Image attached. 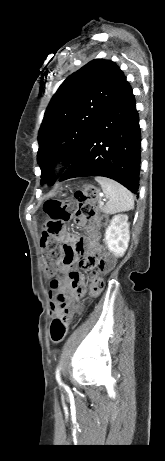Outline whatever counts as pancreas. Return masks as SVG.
<instances>
[{"label": "pancreas", "instance_id": "pancreas-1", "mask_svg": "<svg viewBox=\"0 0 165 461\" xmlns=\"http://www.w3.org/2000/svg\"><path fill=\"white\" fill-rule=\"evenodd\" d=\"M99 202H100V201H99ZM97 209L103 210V209H104V208H103V205L99 204L98 207H97Z\"/></svg>", "mask_w": 165, "mask_h": 461}]
</instances>
